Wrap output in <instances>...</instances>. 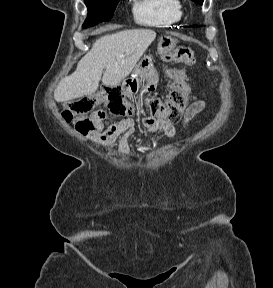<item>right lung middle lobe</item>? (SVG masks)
Instances as JSON below:
<instances>
[{"instance_id":"dd1d6c3e","label":"right lung middle lobe","mask_w":273,"mask_h":288,"mask_svg":"<svg viewBox=\"0 0 273 288\" xmlns=\"http://www.w3.org/2000/svg\"><path fill=\"white\" fill-rule=\"evenodd\" d=\"M118 2L119 0H85L88 16L83 24V28L109 21L113 16Z\"/></svg>"}]
</instances>
